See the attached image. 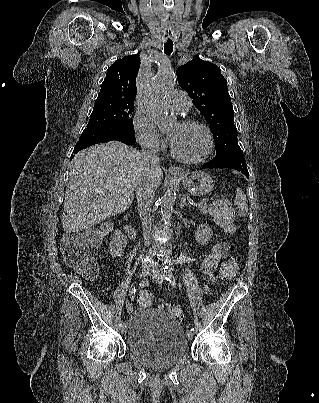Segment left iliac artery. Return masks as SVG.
I'll list each match as a JSON object with an SVG mask.
<instances>
[{
  "label": "left iliac artery",
  "instance_id": "obj_1",
  "mask_svg": "<svg viewBox=\"0 0 319 403\" xmlns=\"http://www.w3.org/2000/svg\"><path fill=\"white\" fill-rule=\"evenodd\" d=\"M164 277H165V279L171 284V286H175V278H174V275H173V272H172V269L170 268V266H168V265H166L165 267H164ZM190 331L191 332H195V329L194 328H191L190 329Z\"/></svg>",
  "mask_w": 319,
  "mask_h": 403
}]
</instances>
